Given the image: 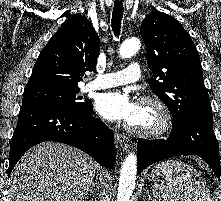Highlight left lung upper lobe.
I'll return each mask as SVG.
<instances>
[{
    "mask_svg": "<svg viewBox=\"0 0 221 201\" xmlns=\"http://www.w3.org/2000/svg\"><path fill=\"white\" fill-rule=\"evenodd\" d=\"M141 36L153 72L149 85L172 113V125L193 116L212 117L198 51L180 23L157 10L142 22Z\"/></svg>",
    "mask_w": 221,
    "mask_h": 201,
    "instance_id": "5c2ea615",
    "label": "left lung upper lobe"
}]
</instances>
